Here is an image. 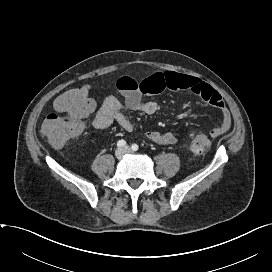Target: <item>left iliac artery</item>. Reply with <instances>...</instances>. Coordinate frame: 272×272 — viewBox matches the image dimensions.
I'll return each mask as SVG.
<instances>
[{"mask_svg":"<svg viewBox=\"0 0 272 272\" xmlns=\"http://www.w3.org/2000/svg\"><path fill=\"white\" fill-rule=\"evenodd\" d=\"M131 148L133 151H137L139 147L137 144H132Z\"/></svg>","mask_w":272,"mask_h":272,"instance_id":"1","label":"left iliac artery"}]
</instances>
